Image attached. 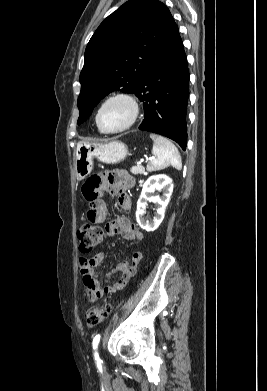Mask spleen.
<instances>
[{"label": "spleen", "mask_w": 267, "mask_h": 391, "mask_svg": "<svg viewBox=\"0 0 267 391\" xmlns=\"http://www.w3.org/2000/svg\"><path fill=\"white\" fill-rule=\"evenodd\" d=\"M150 138L154 141L152 149L154 157L147 164V171L162 170L170 165L181 170V156L176 146L170 140L157 134H150Z\"/></svg>", "instance_id": "3e777b00"}]
</instances>
